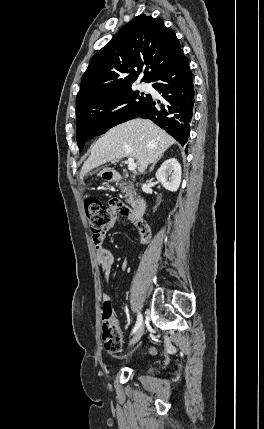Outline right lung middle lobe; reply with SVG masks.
<instances>
[{
	"label": "right lung middle lobe",
	"instance_id": "right-lung-middle-lobe-1",
	"mask_svg": "<svg viewBox=\"0 0 264 429\" xmlns=\"http://www.w3.org/2000/svg\"><path fill=\"white\" fill-rule=\"evenodd\" d=\"M149 94L130 88L102 96L76 107V139L79 151L89 139L104 134L110 128L136 118L150 99ZM118 111L111 110L124 105Z\"/></svg>",
	"mask_w": 264,
	"mask_h": 429
}]
</instances>
